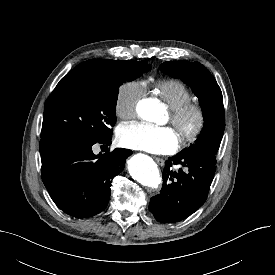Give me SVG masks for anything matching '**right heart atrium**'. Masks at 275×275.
<instances>
[{"mask_svg": "<svg viewBox=\"0 0 275 275\" xmlns=\"http://www.w3.org/2000/svg\"><path fill=\"white\" fill-rule=\"evenodd\" d=\"M145 93L144 86L138 81L124 82L117 90L114 110L121 119H130L135 116L139 100Z\"/></svg>", "mask_w": 275, "mask_h": 275, "instance_id": "1", "label": "right heart atrium"}]
</instances>
